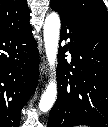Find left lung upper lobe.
<instances>
[{"label":"left lung upper lobe","instance_id":"obj_1","mask_svg":"<svg viewBox=\"0 0 108 127\" xmlns=\"http://www.w3.org/2000/svg\"><path fill=\"white\" fill-rule=\"evenodd\" d=\"M51 3L64 4L80 18L108 29V11L103 0H51Z\"/></svg>","mask_w":108,"mask_h":127}]
</instances>
